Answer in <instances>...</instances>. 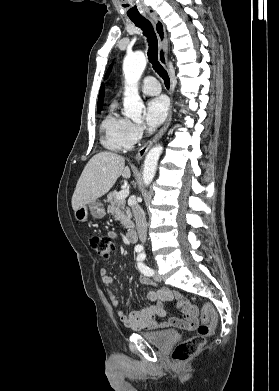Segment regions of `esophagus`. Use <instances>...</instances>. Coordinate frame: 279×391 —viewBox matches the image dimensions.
Instances as JSON below:
<instances>
[{
  "mask_svg": "<svg viewBox=\"0 0 279 391\" xmlns=\"http://www.w3.org/2000/svg\"><path fill=\"white\" fill-rule=\"evenodd\" d=\"M150 20L153 23L157 38H158V59L159 62L167 69L169 70V64H168V39H167V33L166 28L162 20L159 18L157 13L151 12L150 14ZM172 120V110H170L169 115L164 123V125L161 127V129L158 131V133L154 136V138L149 141L145 146H143L138 153L135 156V160L139 161L141 160L146 152L149 150V148L156 143L162 135L165 133L167 128L169 127Z\"/></svg>",
  "mask_w": 279,
  "mask_h": 391,
  "instance_id": "1",
  "label": "esophagus"
}]
</instances>
